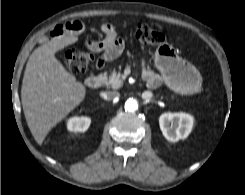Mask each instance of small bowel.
Instances as JSON below:
<instances>
[{
	"mask_svg": "<svg viewBox=\"0 0 245 195\" xmlns=\"http://www.w3.org/2000/svg\"><path fill=\"white\" fill-rule=\"evenodd\" d=\"M83 24L80 21H69L63 25L56 26L52 34L53 36H60L63 34H76L81 32ZM101 30L104 33V38L99 41L89 40L86 42L87 47L91 51L103 52V63L112 61L119 57L124 49V40L117 36L115 27L110 23H103ZM146 76H154L159 78L155 73L145 68Z\"/></svg>",
	"mask_w": 245,
	"mask_h": 195,
	"instance_id": "obj_1",
	"label": "small bowel"
}]
</instances>
